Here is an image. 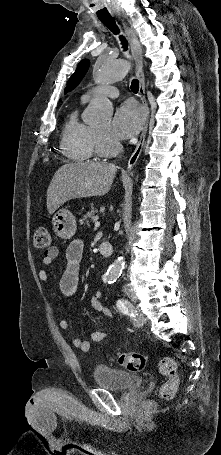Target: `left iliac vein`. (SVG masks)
I'll return each mask as SVG.
<instances>
[{"instance_id":"4c4485c4","label":"left iliac vein","mask_w":221,"mask_h":455,"mask_svg":"<svg viewBox=\"0 0 221 455\" xmlns=\"http://www.w3.org/2000/svg\"><path fill=\"white\" fill-rule=\"evenodd\" d=\"M134 308V307H133ZM135 310V308H134ZM145 317L142 316V315H136L135 316V319H134V322L133 324L136 326V327H142L144 324H145Z\"/></svg>"}]
</instances>
